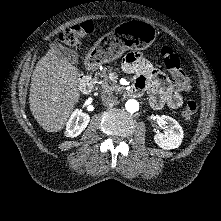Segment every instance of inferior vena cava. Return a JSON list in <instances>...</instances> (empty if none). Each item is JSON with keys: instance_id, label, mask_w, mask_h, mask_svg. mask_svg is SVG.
<instances>
[{"instance_id": "obj_1", "label": "inferior vena cava", "mask_w": 221, "mask_h": 221, "mask_svg": "<svg viewBox=\"0 0 221 221\" xmlns=\"http://www.w3.org/2000/svg\"><path fill=\"white\" fill-rule=\"evenodd\" d=\"M101 100L105 106H113L118 104L117 98L109 93H103Z\"/></svg>"}]
</instances>
